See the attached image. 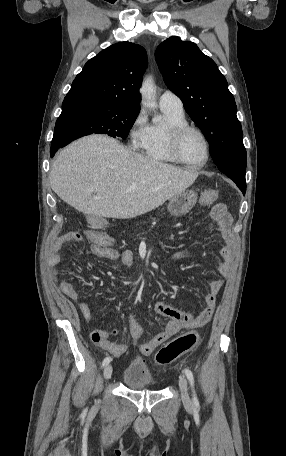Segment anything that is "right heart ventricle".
I'll return each mask as SVG.
<instances>
[{"instance_id":"obj_1","label":"right heart ventricle","mask_w":286,"mask_h":456,"mask_svg":"<svg viewBox=\"0 0 286 456\" xmlns=\"http://www.w3.org/2000/svg\"><path fill=\"white\" fill-rule=\"evenodd\" d=\"M165 121L148 125L146 135L140 145L144 156L155 162L177 163L168 149L167 130L173 124L187 123L184 112H175L161 108Z\"/></svg>"}]
</instances>
